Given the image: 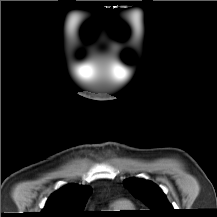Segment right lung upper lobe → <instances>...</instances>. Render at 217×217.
<instances>
[{
    "label": "right lung upper lobe",
    "instance_id": "obj_1",
    "mask_svg": "<svg viewBox=\"0 0 217 217\" xmlns=\"http://www.w3.org/2000/svg\"><path fill=\"white\" fill-rule=\"evenodd\" d=\"M92 188L77 184H68L54 192L47 200L39 217H88L84 206Z\"/></svg>",
    "mask_w": 217,
    "mask_h": 217
}]
</instances>
